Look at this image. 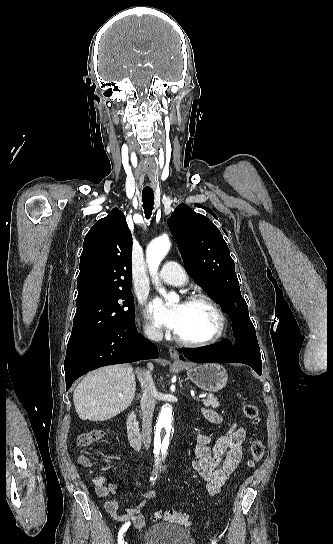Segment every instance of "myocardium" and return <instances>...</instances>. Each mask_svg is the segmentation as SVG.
I'll return each mask as SVG.
<instances>
[{"mask_svg":"<svg viewBox=\"0 0 333 544\" xmlns=\"http://www.w3.org/2000/svg\"><path fill=\"white\" fill-rule=\"evenodd\" d=\"M195 302H205L215 312L218 319V326L215 333L210 338L205 340H200V341L187 340L179 336L177 333H175V339L178 343L184 346L193 347V348H200V347L213 345L222 338V336L224 335L226 331L227 318H226L225 312L223 308L221 307V305L213 297H211L208 294L196 293V294L190 295L186 300V303H195Z\"/></svg>","mask_w":333,"mask_h":544,"instance_id":"f54148a6","label":"myocardium"}]
</instances>
